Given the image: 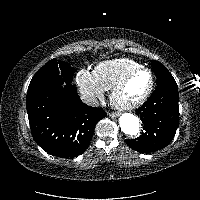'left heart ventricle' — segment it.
Instances as JSON below:
<instances>
[{"label": "left heart ventricle", "mask_w": 200, "mask_h": 200, "mask_svg": "<svg viewBox=\"0 0 200 200\" xmlns=\"http://www.w3.org/2000/svg\"><path fill=\"white\" fill-rule=\"evenodd\" d=\"M150 83V75L146 71L135 74L122 88L118 99L122 102H133L144 95Z\"/></svg>", "instance_id": "obj_1"}]
</instances>
